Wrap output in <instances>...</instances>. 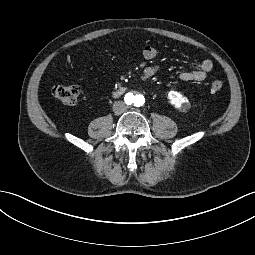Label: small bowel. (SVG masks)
<instances>
[{"label":"small bowel","instance_id":"small-bowel-1","mask_svg":"<svg viewBox=\"0 0 255 255\" xmlns=\"http://www.w3.org/2000/svg\"><path fill=\"white\" fill-rule=\"evenodd\" d=\"M143 57L146 60H153L158 56V50L152 45H146L143 48ZM213 64L210 60H202L198 68L191 71H184L180 74V79L183 81H202L206 78L207 74L212 70ZM161 70L160 65H150L143 69L140 74V81L146 82L153 78Z\"/></svg>","mask_w":255,"mask_h":255}]
</instances>
